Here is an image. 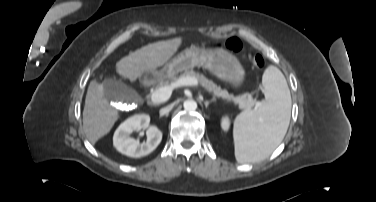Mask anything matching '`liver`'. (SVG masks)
I'll return each mask as SVG.
<instances>
[{"label": "liver", "mask_w": 376, "mask_h": 202, "mask_svg": "<svg viewBox=\"0 0 376 202\" xmlns=\"http://www.w3.org/2000/svg\"><path fill=\"white\" fill-rule=\"evenodd\" d=\"M182 38L148 44L122 58L116 63L117 72L130 81H135L144 72L164 65L177 51ZM103 85L92 80L88 86L83 110V128L87 138L95 144L106 135L118 119V110L103 97Z\"/></svg>", "instance_id": "1"}]
</instances>
